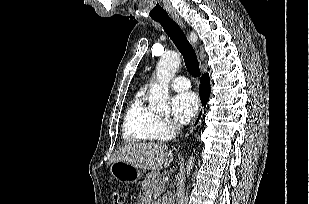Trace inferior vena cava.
I'll return each mask as SVG.
<instances>
[{
	"mask_svg": "<svg viewBox=\"0 0 309 204\" xmlns=\"http://www.w3.org/2000/svg\"><path fill=\"white\" fill-rule=\"evenodd\" d=\"M176 130L179 131L180 130V126H176Z\"/></svg>",
	"mask_w": 309,
	"mask_h": 204,
	"instance_id": "1",
	"label": "inferior vena cava"
}]
</instances>
